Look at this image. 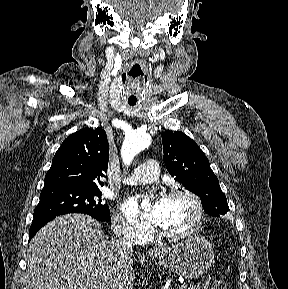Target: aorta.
Masks as SVG:
<instances>
[{
  "label": "aorta",
  "instance_id": "aorta-1",
  "mask_svg": "<svg viewBox=\"0 0 288 289\" xmlns=\"http://www.w3.org/2000/svg\"><path fill=\"white\" fill-rule=\"evenodd\" d=\"M150 144V136L144 132H133L125 138L122 146V159L124 164L129 165L133 158ZM141 207L145 210L150 208L148 201L144 200Z\"/></svg>",
  "mask_w": 288,
  "mask_h": 289
}]
</instances>
